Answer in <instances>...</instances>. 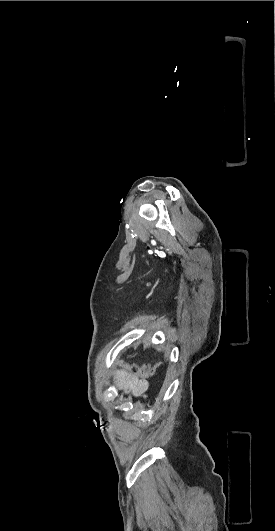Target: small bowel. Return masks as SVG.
Instances as JSON below:
<instances>
[{"label": "small bowel", "mask_w": 275, "mask_h": 531, "mask_svg": "<svg viewBox=\"0 0 275 531\" xmlns=\"http://www.w3.org/2000/svg\"><path fill=\"white\" fill-rule=\"evenodd\" d=\"M114 381L122 390L135 397H145L149 387L147 379L139 378L122 370L114 373Z\"/></svg>", "instance_id": "c3829d8e"}]
</instances>
